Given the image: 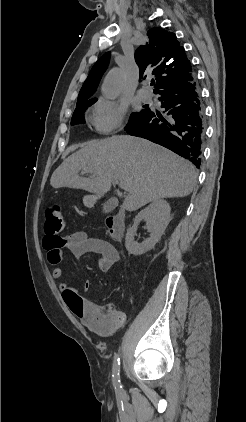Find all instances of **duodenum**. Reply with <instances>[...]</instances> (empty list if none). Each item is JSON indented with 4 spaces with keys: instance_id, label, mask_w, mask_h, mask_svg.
Returning <instances> with one entry per match:
<instances>
[{
    "instance_id": "obj_1",
    "label": "duodenum",
    "mask_w": 246,
    "mask_h": 422,
    "mask_svg": "<svg viewBox=\"0 0 246 422\" xmlns=\"http://www.w3.org/2000/svg\"><path fill=\"white\" fill-rule=\"evenodd\" d=\"M107 227L116 240L121 239L125 231V214L123 211L107 217L106 219Z\"/></svg>"
}]
</instances>
